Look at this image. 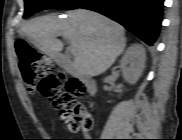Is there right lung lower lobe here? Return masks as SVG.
I'll return each instance as SVG.
<instances>
[{
  "instance_id": "obj_1",
  "label": "right lung lower lobe",
  "mask_w": 182,
  "mask_h": 140,
  "mask_svg": "<svg viewBox=\"0 0 182 140\" xmlns=\"http://www.w3.org/2000/svg\"><path fill=\"white\" fill-rule=\"evenodd\" d=\"M164 0H90L80 8L101 13L126 27L146 44L156 41Z\"/></svg>"
}]
</instances>
